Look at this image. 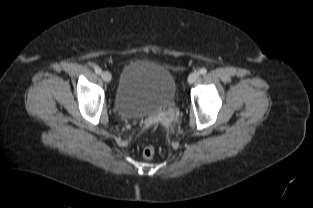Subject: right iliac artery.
<instances>
[{"instance_id":"obj_1","label":"right iliac artery","mask_w":313,"mask_h":208,"mask_svg":"<svg viewBox=\"0 0 313 208\" xmlns=\"http://www.w3.org/2000/svg\"><path fill=\"white\" fill-rule=\"evenodd\" d=\"M94 70L97 74H100L102 72L101 68L98 66H95Z\"/></svg>"}]
</instances>
